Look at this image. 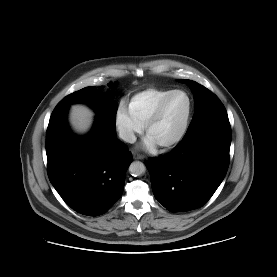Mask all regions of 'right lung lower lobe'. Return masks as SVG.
<instances>
[{
	"label": "right lung lower lobe",
	"instance_id": "obj_1",
	"mask_svg": "<svg viewBox=\"0 0 277 277\" xmlns=\"http://www.w3.org/2000/svg\"><path fill=\"white\" fill-rule=\"evenodd\" d=\"M68 108L54 109L46 133L50 182L76 212L99 216L121 197L132 155L115 128L96 118L92 131L78 137L68 128Z\"/></svg>",
	"mask_w": 277,
	"mask_h": 277
}]
</instances>
